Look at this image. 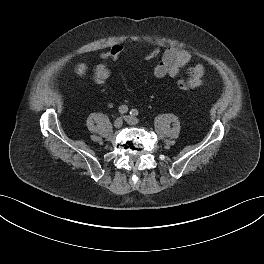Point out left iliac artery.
I'll use <instances>...</instances> for the list:
<instances>
[{
  "label": "left iliac artery",
  "mask_w": 264,
  "mask_h": 264,
  "mask_svg": "<svg viewBox=\"0 0 264 264\" xmlns=\"http://www.w3.org/2000/svg\"><path fill=\"white\" fill-rule=\"evenodd\" d=\"M130 114H131L132 116H137V115H138V110H136V109H132V110L130 111Z\"/></svg>",
  "instance_id": "left-iliac-artery-1"
}]
</instances>
